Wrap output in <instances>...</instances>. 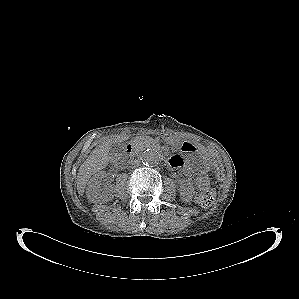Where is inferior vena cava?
<instances>
[{
    "instance_id": "1",
    "label": "inferior vena cava",
    "mask_w": 299,
    "mask_h": 299,
    "mask_svg": "<svg viewBox=\"0 0 299 299\" xmlns=\"http://www.w3.org/2000/svg\"><path fill=\"white\" fill-rule=\"evenodd\" d=\"M130 165H131V167H136V166L139 165V163H138L137 161H132V162L130 163Z\"/></svg>"
}]
</instances>
